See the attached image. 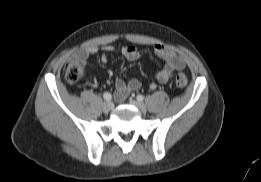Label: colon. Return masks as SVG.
Segmentation results:
<instances>
[{
    "instance_id": "obj_1",
    "label": "colon",
    "mask_w": 261,
    "mask_h": 182,
    "mask_svg": "<svg viewBox=\"0 0 261 182\" xmlns=\"http://www.w3.org/2000/svg\"><path fill=\"white\" fill-rule=\"evenodd\" d=\"M82 64L77 60L69 61L64 68V77L68 84H76L82 77ZM175 85L178 88H184L187 85V78L183 74H178L175 78Z\"/></svg>"
}]
</instances>
